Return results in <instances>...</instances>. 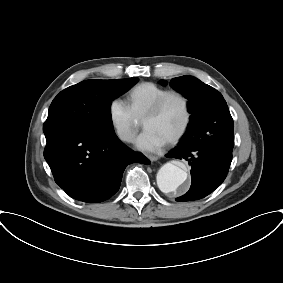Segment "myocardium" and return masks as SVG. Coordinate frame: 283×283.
Returning <instances> with one entry per match:
<instances>
[{
  "label": "myocardium",
  "mask_w": 283,
  "mask_h": 283,
  "mask_svg": "<svg viewBox=\"0 0 283 283\" xmlns=\"http://www.w3.org/2000/svg\"><path fill=\"white\" fill-rule=\"evenodd\" d=\"M173 97H177L182 101L183 106H184V110H185V119H184V122H183L181 128L179 129V131L174 136H172L169 140H167V143H169V144H174V143L178 142L185 135V133L187 132V130H188L190 124H191L192 107H191V102H190V99L188 98V96L186 94H184L183 92L178 91V90H169L168 92L163 94L151 106V108L147 111V113L145 114V116L143 118V125H144L145 122L148 119L157 116L162 111V109L164 108L166 103Z\"/></svg>",
  "instance_id": "obj_1"
}]
</instances>
